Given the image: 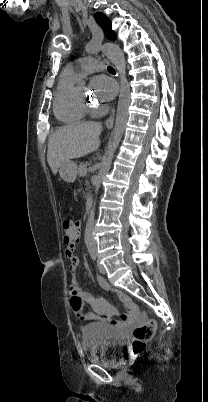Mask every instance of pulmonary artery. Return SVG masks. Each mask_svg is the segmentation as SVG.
<instances>
[{
    "mask_svg": "<svg viewBox=\"0 0 208 402\" xmlns=\"http://www.w3.org/2000/svg\"><path fill=\"white\" fill-rule=\"evenodd\" d=\"M104 65L105 62L103 60L92 61L89 57H82L68 64L65 68V72L77 79H81L85 75L93 72V69L97 72L102 71Z\"/></svg>",
    "mask_w": 208,
    "mask_h": 402,
    "instance_id": "e3ab8cb5",
    "label": "pulmonary artery"
}]
</instances>
